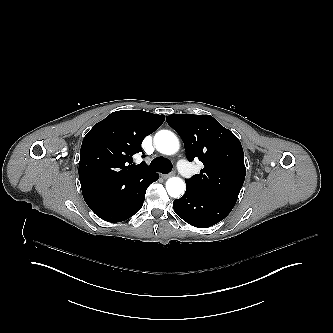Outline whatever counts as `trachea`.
<instances>
[{
  "instance_id": "1",
  "label": "trachea",
  "mask_w": 333,
  "mask_h": 333,
  "mask_svg": "<svg viewBox=\"0 0 333 333\" xmlns=\"http://www.w3.org/2000/svg\"><path fill=\"white\" fill-rule=\"evenodd\" d=\"M150 169L153 171L161 172L163 174H168L172 170V163L165 158L157 157L152 160Z\"/></svg>"
}]
</instances>
